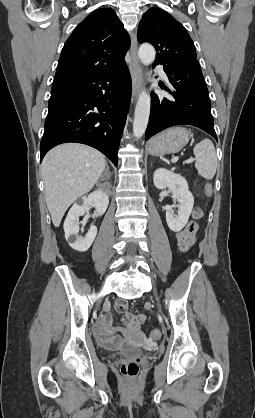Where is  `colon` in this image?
Returning a JSON list of instances; mask_svg holds the SVG:
<instances>
[{
    "label": "colon",
    "instance_id": "obj_1",
    "mask_svg": "<svg viewBox=\"0 0 255 418\" xmlns=\"http://www.w3.org/2000/svg\"><path fill=\"white\" fill-rule=\"evenodd\" d=\"M213 187L211 183H207L205 186V194L209 198L212 195ZM202 217V211L199 208H196L193 212V219L188 223L186 228H198V220ZM179 236V235H178ZM178 239V244H179ZM187 250V249H186ZM160 332L158 330H153L151 332L152 339L160 338ZM120 369L123 375L129 378H135L139 373V363L136 360H127L121 363Z\"/></svg>",
    "mask_w": 255,
    "mask_h": 418
}]
</instances>
